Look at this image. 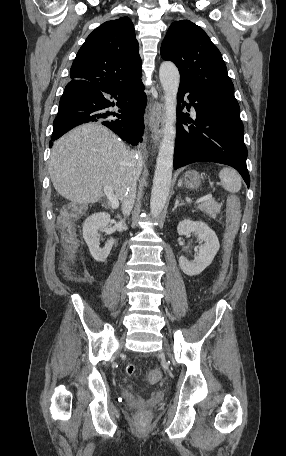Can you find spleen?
Returning a JSON list of instances; mask_svg holds the SVG:
<instances>
[{
	"label": "spleen",
	"mask_w": 286,
	"mask_h": 456,
	"mask_svg": "<svg viewBox=\"0 0 286 456\" xmlns=\"http://www.w3.org/2000/svg\"><path fill=\"white\" fill-rule=\"evenodd\" d=\"M219 178L222 187L231 193H237L241 189V177L240 175L232 168L225 167L219 172ZM179 186L182 185L180 180L178 183Z\"/></svg>",
	"instance_id": "1"
}]
</instances>
